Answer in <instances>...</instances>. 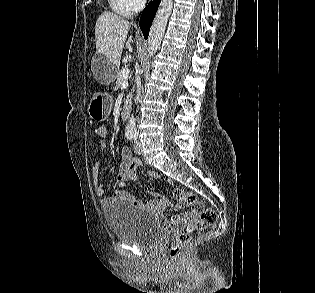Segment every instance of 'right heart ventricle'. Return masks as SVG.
<instances>
[{
    "mask_svg": "<svg viewBox=\"0 0 315 293\" xmlns=\"http://www.w3.org/2000/svg\"><path fill=\"white\" fill-rule=\"evenodd\" d=\"M111 9L122 16H129L131 14L125 0H109Z\"/></svg>",
    "mask_w": 315,
    "mask_h": 293,
    "instance_id": "1",
    "label": "right heart ventricle"
}]
</instances>
